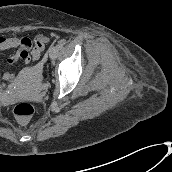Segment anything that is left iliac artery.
<instances>
[{"instance_id": "left-iliac-artery-1", "label": "left iliac artery", "mask_w": 172, "mask_h": 172, "mask_svg": "<svg viewBox=\"0 0 172 172\" xmlns=\"http://www.w3.org/2000/svg\"><path fill=\"white\" fill-rule=\"evenodd\" d=\"M57 46H58L59 49H62L64 44L62 42H60Z\"/></svg>"}]
</instances>
